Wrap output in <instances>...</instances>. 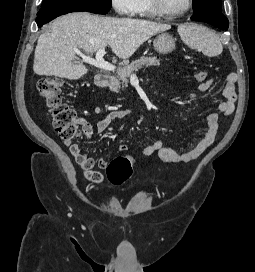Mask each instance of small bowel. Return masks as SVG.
<instances>
[{
    "label": "small bowel",
    "mask_w": 255,
    "mask_h": 272,
    "mask_svg": "<svg viewBox=\"0 0 255 272\" xmlns=\"http://www.w3.org/2000/svg\"><path fill=\"white\" fill-rule=\"evenodd\" d=\"M236 81V73H229L226 76L225 85L222 90L224 100L218 104L219 113H212L207 116L206 131L203 137L192 149L186 152H179L174 148L164 146L163 139L160 138L147 145L141 151V154L144 156L156 155L159 162L162 164H186L202 156L215 140L221 116L230 115L234 110L237 100V94L235 91ZM213 85L214 79H207L199 84L198 91L207 92L213 87ZM131 113L132 109L110 111L96 124L95 127H92L90 124L83 122L82 126L86 139L90 140L94 134H102L110 127L114 121L123 119L129 116ZM65 144L69 147L72 158L81 167L86 178L94 183H101L104 177L101 172L95 170V167H98L99 169L106 168L108 164L107 160H97L94 157L87 155L81 151L80 146L76 143L65 141ZM119 149L121 151L127 150V145L121 144Z\"/></svg>",
    "instance_id": "small-bowel-1"
}]
</instances>
